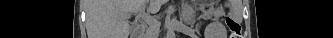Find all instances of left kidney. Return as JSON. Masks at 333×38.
<instances>
[{"label":"left kidney","instance_id":"5707ae66","mask_svg":"<svg viewBox=\"0 0 333 38\" xmlns=\"http://www.w3.org/2000/svg\"><path fill=\"white\" fill-rule=\"evenodd\" d=\"M213 33V37L214 38H225V34H226V30L225 27L219 23H211L209 25H207L206 29H205V35L206 36H210L208 35Z\"/></svg>","mask_w":333,"mask_h":38}]
</instances>
